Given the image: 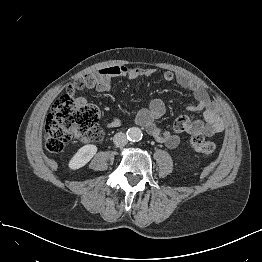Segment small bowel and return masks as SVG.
Returning <instances> with one entry per match:
<instances>
[{
    "mask_svg": "<svg viewBox=\"0 0 262 262\" xmlns=\"http://www.w3.org/2000/svg\"><path fill=\"white\" fill-rule=\"evenodd\" d=\"M154 73L155 70L152 68L130 69L125 65H113L88 75L83 87L95 89L99 93H107L112 80L115 78H146ZM164 79L168 82L177 81L182 89L194 96L196 103L189 106L188 111L200 113L202 120H191L186 114H182L176 118L173 131L162 130L155 122L164 115L165 105L162 100L154 99L136 115V122L145 127L149 135L166 146L175 148L180 143L183 132H201L206 136H212L224 130V121L217 110L216 104L197 81L184 74L176 75L171 71L164 74ZM120 124L121 119L113 117L107 126L117 128Z\"/></svg>",
    "mask_w": 262,
    "mask_h": 262,
    "instance_id": "c3829d8e",
    "label": "small bowel"
}]
</instances>
